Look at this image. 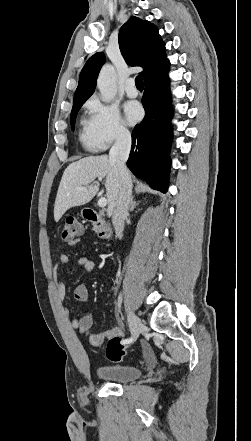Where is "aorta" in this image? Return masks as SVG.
Here are the masks:
<instances>
[{
  "mask_svg": "<svg viewBox=\"0 0 251 441\" xmlns=\"http://www.w3.org/2000/svg\"><path fill=\"white\" fill-rule=\"evenodd\" d=\"M97 87L102 101L110 102L115 98L117 94L116 71L112 65L106 64L102 67L97 79Z\"/></svg>",
  "mask_w": 251,
  "mask_h": 441,
  "instance_id": "1",
  "label": "aorta"
}]
</instances>
